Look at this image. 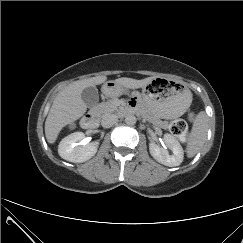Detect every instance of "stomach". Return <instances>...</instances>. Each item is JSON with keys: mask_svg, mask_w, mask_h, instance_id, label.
I'll list each match as a JSON object with an SVG mask.
<instances>
[{"mask_svg": "<svg viewBox=\"0 0 243 243\" xmlns=\"http://www.w3.org/2000/svg\"><path fill=\"white\" fill-rule=\"evenodd\" d=\"M121 85L115 81L106 82L103 92L109 96L119 93ZM141 97L150 110V114L162 119H175L183 115L192 102L191 91L181 82L155 79L142 89Z\"/></svg>", "mask_w": 243, "mask_h": 243, "instance_id": "1", "label": "stomach"}]
</instances>
